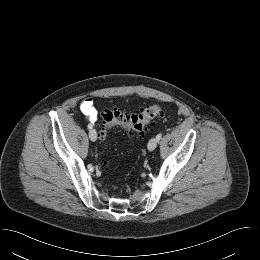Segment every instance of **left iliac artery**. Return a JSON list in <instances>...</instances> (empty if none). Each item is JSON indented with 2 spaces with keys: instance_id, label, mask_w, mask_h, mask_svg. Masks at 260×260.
I'll use <instances>...</instances> for the list:
<instances>
[{
  "instance_id": "44dca946",
  "label": "left iliac artery",
  "mask_w": 260,
  "mask_h": 260,
  "mask_svg": "<svg viewBox=\"0 0 260 260\" xmlns=\"http://www.w3.org/2000/svg\"><path fill=\"white\" fill-rule=\"evenodd\" d=\"M161 138H162V133H159V134L156 136V139H157V141H159Z\"/></svg>"
}]
</instances>
